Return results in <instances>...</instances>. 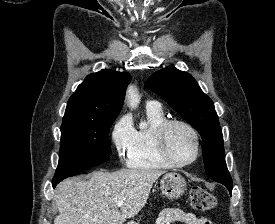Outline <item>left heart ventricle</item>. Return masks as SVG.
I'll return each instance as SVG.
<instances>
[{"label":"left heart ventricle","mask_w":275,"mask_h":224,"mask_svg":"<svg viewBox=\"0 0 275 224\" xmlns=\"http://www.w3.org/2000/svg\"><path fill=\"white\" fill-rule=\"evenodd\" d=\"M166 144L170 155L178 162L188 161L194 155V139L182 126L175 125L169 129Z\"/></svg>","instance_id":"1"}]
</instances>
